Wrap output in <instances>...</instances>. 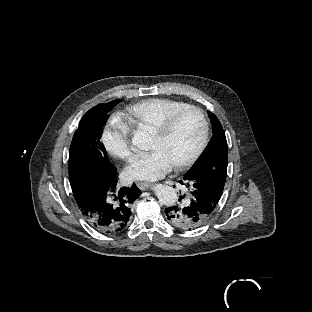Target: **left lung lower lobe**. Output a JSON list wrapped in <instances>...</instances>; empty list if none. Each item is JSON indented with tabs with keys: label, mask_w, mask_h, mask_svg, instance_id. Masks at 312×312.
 Wrapping results in <instances>:
<instances>
[{
	"label": "left lung lower lobe",
	"mask_w": 312,
	"mask_h": 312,
	"mask_svg": "<svg viewBox=\"0 0 312 312\" xmlns=\"http://www.w3.org/2000/svg\"><path fill=\"white\" fill-rule=\"evenodd\" d=\"M184 180L191 188L190 203L185 207L167 208L165 212L167 219L173 224L190 230L205 224L215 215L223 193L226 172H210L191 180ZM184 182L180 181L181 184Z\"/></svg>",
	"instance_id": "0a47b994"
}]
</instances>
